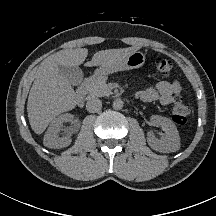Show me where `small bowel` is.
<instances>
[{"instance_id":"c3829d8e","label":"small bowel","mask_w":216,"mask_h":216,"mask_svg":"<svg viewBox=\"0 0 216 216\" xmlns=\"http://www.w3.org/2000/svg\"><path fill=\"white\" fill-rule=\"evenodd\" d=\"M181 92V85L177 80L159 81L155 87L148 88L139 93V97L147 102L159 100L161 104L168 105Z\"/></svg>"}]
</instances>
